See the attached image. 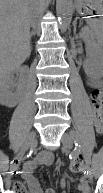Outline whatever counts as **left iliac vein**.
Masks as SVG:
<instances>
[{"instance_id": "4c4485c4", "label": "left iliac vein", "mask_w": 103, "mask_h": 193, "mask_svg": "<svg viewBox=\"0 0 103 193\" xmlns=\"http://www.w3.org/2000/svg\"><path fill=\"white\" fill-rule=\"evenodd\" d=\"M64 149L70 150L73 147V138L69 133H64L61 139ZM85 169L89 179H92V173L87 164H85Z\"/></svg>"}]
</instances>
